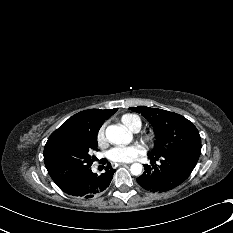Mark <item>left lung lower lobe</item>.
Instances as JSON below:
<instances>
[{"label": "left lung lower lobe", "instance_id": "left-lung-lower-lobe-1", "mask_svg": "<svg viewBox=\"0 0 233 233\" xmlns=\"http://www.w3.org/2000/svg\"><path fill=\"white\" fill-rule=\"evenodd\" d=\"M160 160L159 166L144 165V173L137 178L138 184L151 192H166L183 183L191 174L196 164L172 155L153 156Z\"/></svg>", "mask_w": 233, "mask_h": 233}]
</instances>
